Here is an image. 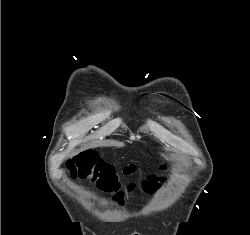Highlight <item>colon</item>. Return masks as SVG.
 Wrapping results in <instances>:
<instances>
[{"instance_id": "1", "label": "colon", "mask_w": 250, "mask_h": 235, "mask_svg": "<svg viewBox=\"0 0 250 235\" xmlns=\"http://www.w3.org/2000/svg\"><path fill=\"white\" fill-rule=\"evenodd\" d=\"M68 169L74 178L91 180L106 191H117L120 183L115 168L102 161L95 153H81L68 162ZM125 174H132L135 171L134 165L124 168ZM151 180H145L144 185H151ZM117 200L123 202L124 195L119 193Z\"/></svg>"}]
</instances>
